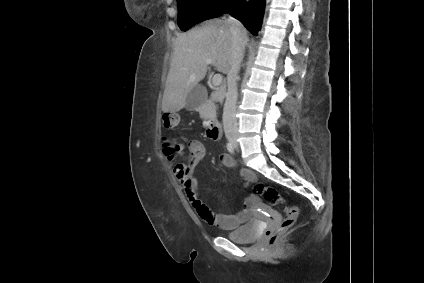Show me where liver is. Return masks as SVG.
Instances as JSON below:
<instances>
[{
  "label": "liver",
  "mask_w": 424,
  "mask_h": 283,
  "mask_svg": "<svg viewBox=\"0 0 424 283\" xmlns=\"http://www.w3.org/2000/svg\"><path fill=\"white\" fill-rule=\"evenodd\" d=\"M246 31V30H245ZM232 34L225 18L205 21L200 27L177 36L162 100V111L178 112L186 106L188 93L205 77L207 60L228 74Z\"/></svg>",
  "instance_id": "1"
}]
</instances>
